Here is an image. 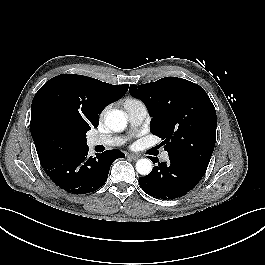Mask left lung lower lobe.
Segmentation results:
<instances>
[{
	"label": "left lung lower lobe",
	"mask_w": 265,
	"mask_h": 265,
	"mask_svg": "<svg viewBox=\"0 0 265 265\" xmlns=\"http://www.w3.org/2000/svg\"><path fill=\"white\" fill-rule=\"evenodd\" d=\"M153 163L158 162L150 157ZM206 170L197 165L169 157L168 162L158 163L153 171L139 178L143 191L162 199H175L192 190L204 176Z\"/></svg>",
	"instance_id": "1"
}]
</instances>
